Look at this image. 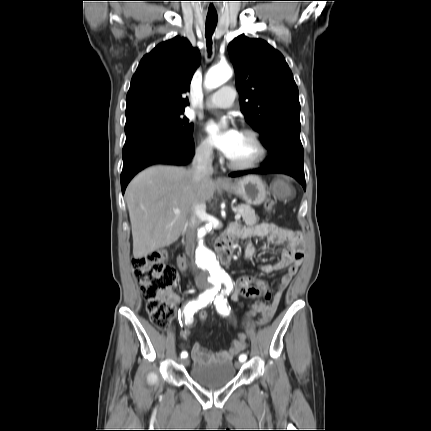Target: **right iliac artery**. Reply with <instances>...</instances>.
Segmentation results:
<instances>
[{
    "label": "right iliac artery",
    "instance_id": "right-iliac-artery-1",
    "mask_svg": "<svg viewBox=\"0 0 431 431\" xmlns=\"http://www.w3.org/2000/svg\"><path fill=\"white\" fill-rule=\"evenodd\" d=\"M221 284H217L214 289L206 290L199 295L197 300H192L186 304L183 312L186 317V323L191 322L193 314L197 312L200 308L205 307L207 304L211 303L214 294L220 289ZM188 354L186 352L181 353V358H186Z\"/></svg>",
    "mask_w": 431,
    "mask_h": 431
}]
</instances>
